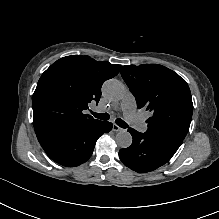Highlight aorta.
I'll use <instances>...</instances> for the list:
<instances>
[{
    "mask_svg": "<svg viewBox=\"0 0 219 219\" xmlns=\"http://www.w3.org/2000/svg\"><path fill=\"white\" fill-rule=\"evenodd\" d=\"M102 92L110 100H120L125 93V86L117 79H110L103 84ZM115 141L120 148H128L132 144V136L127 131H120Z\"/></svg>",
    "mask_w": 219,
    "mask_h": 219,
    "instance_id": "762f6f07",
    "label": "aorta"
}]
</instances>
